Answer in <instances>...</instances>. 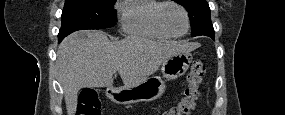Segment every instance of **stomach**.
I'll return each instance as SVG.
<instances>
[{
    "label": "stomach",
    "mask_w": 285,
    "mask_h": 115,
    "mask_svg": "<svg viewBox=\"0 0 285 115\" xmlns=\"http://www.w3.org/2000/svg\"><path fill=\"white\" fill-rule=\"evenodd\" d=\"M192 61L190 53L171 56L162 63V74L166 80H175L183 76ZM166 90L165 81L154 76L134 85L119 88L108 87L106 96L117 104L130 105L138 102H150L160 98Z\"/></svg>",
    "instance_id": "0dacf381"
}]
</instances>
